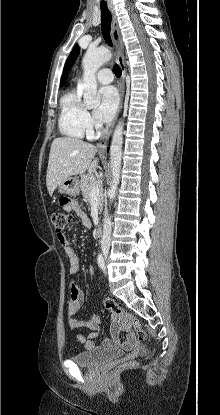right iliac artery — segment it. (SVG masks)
Segmentation results:
<instances>
[{"label": "right iliac artery", "instance_id": "obj_1", "mask_svg": "<svg viewBox=\"0 0 220 415\" xmlns=\"http://www.w3.org/2000/svg\"><path fill=\"white\" fill-rule=\"evenodd\" d=\"M97 263H98V266H99L100 268H103V267H104V258H103V256H102V254H99V255H98V258H97Z\"/></svg>", "mask_w": 220, "mask_h": 415}]
</instances>
